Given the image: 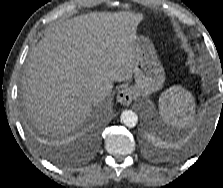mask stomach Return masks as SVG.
Instances as JSON below:
<instances>
[{"instance_id":"1","label":"stomach","mask_w":223,"mask_h":188,"mask_svg":"<svg viewBox=\"0 0 223 188\" xmlns=\"http://www.w3.org/2000/svg\"><path fill=\"white\" fill-rule=\"evenodd\" d=\"M136 53L133 63L135 85L131 88L135 97L148 96L162 88L164 69L158 60L153 44L141 35L136 38Z\"/></svg>"}]
</instances>
